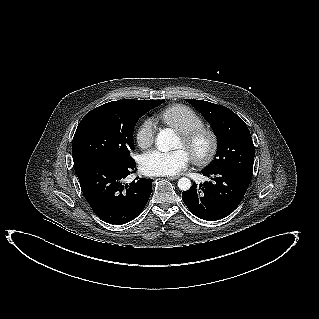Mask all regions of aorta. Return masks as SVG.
Returning a JSON list of instances; mask_svg holds the SVG:
<instances>
[{
    "instance_id": "762f6f07",
    "label": "aorta",
    "mask_w": 319,
    "mask_h": 319,
    "mask_svg": "<svg viewBox=\"0 0 319 319\" xmlns=\"http://www.w3.org/2000/svg\"><path fill=\"white\" fill-rule=\"evenodd\" d=\"M177 136L173 130L166 128L159 132L156 137L157 148L162 152H168L177 145ZM178 187L182 191L189 190L191 187L190 179L182 177L178 180Z\"/></svg>"
}]
</instances>
